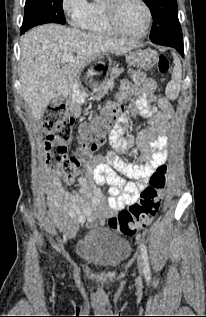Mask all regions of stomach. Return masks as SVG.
<instances>
[{
    "label": "stomach",
    "mask_w": 206,
    "mask_h": 317,
    "mask_svg": "<svg viewBox=\"0 0 206 317\" xmlns=\"http://www.w3.org/2000/svg\"><path fill=\"white\" fill-rule=\"evenodd\" d=\"M150 52V50L142 49L128 51L124 70L130 68L139 70V68L147 66V58L152 56ZM112 60V55H95L94 59H88V63L84 65L82 72L75 79L80 94H99L98 87H111V84L115 86L114 80H110V77H115Z\"/></svg>",
    "instance_id": "0dacf381"
}]
</instances>
